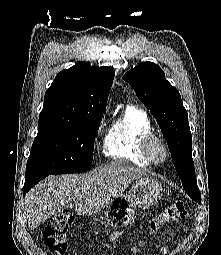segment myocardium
Returning a JSON list of instances; mask_svg holds the SVG:
<instances>
[{
    "label": "myocardium",
    "mask_w": 221,
    "mask_h": 255,
    "mask_svg": "<svg viewBox=\"0 0 221 255\" xmlns=\"http://www.w3.org/2000/svg\"><path fill=\"white\" fill-rule=\"evenodd\" d=\"M155 147H159L162 150L163 156L160 160L155 157ZM141 151L146 159L154 165H160L164 163L169 157V150L164 140L154 133L149 134L143 138L141 142Z\"/></svg>",
    "instance_id": "obj_1"
}]
</instances>
